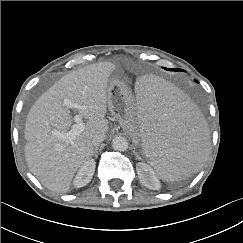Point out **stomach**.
Returning a JSON list of instances; mask_svg holds the SVG:
<instances>
[{
	"label": "stomach",
	"mask_w": 243,
	"mask_h": 243,
	"mask_svg": "<svg viewBox=\"0 0 243 243\" xmlns=\"http://www.w3.org/2000/svg\"><path fill=\"white\" fill-rule=\"evenodd\" d=\"M108 108L112 116L135 141L137 128L134 97L130 88L116 77H110L109 80Z\"/></svg>",
	"instance_id": "0dacf381"
}]
</instances>
